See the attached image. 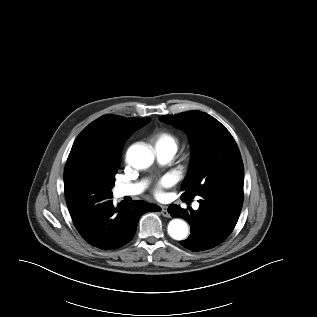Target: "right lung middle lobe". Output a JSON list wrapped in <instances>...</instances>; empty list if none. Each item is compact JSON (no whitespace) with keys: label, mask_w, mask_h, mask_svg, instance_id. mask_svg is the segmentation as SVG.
Segmentation results:
<instances>
[{"label":"right lung middle lobe","mask_w":317,"mask_h":317,"mask_svg":"<svg viewBox=\"0 0 317 317\" xmlns=\"http://www.w3.org/2000/svg\"><path fill=\"white\" fill-rule=\"evenodd\" d=\"M149 121V118L145 119L143 125ZM119 166L120 160L110 156H96L89 152L78 154L66 163L65 195L77 194L90 201L111 198V189Z\"/></svg>","instance_id":"1"}]
</instances>
